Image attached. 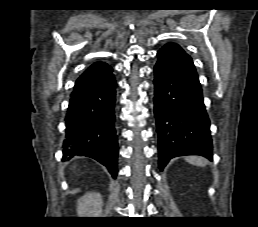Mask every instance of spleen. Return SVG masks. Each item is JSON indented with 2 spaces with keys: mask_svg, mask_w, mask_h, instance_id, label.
I'll return each instance as SVG.
<instances>
[{
  "mask_svg": "<svg viewBox=\"0 0 258 227\" xmlns=\"http://www.w3.org/2000/svg\"><path fill=\"white\" fill-rule=\"evenodd\" d=\"M187 162L196 166H205L207 164V160L198 156H188L185 158Z\"/></svg>",
  "mask_w": 258,
  "mask_h": 227,
  "instance_id": "obj_1",
  "label": "spleen"
}]
</instances>
